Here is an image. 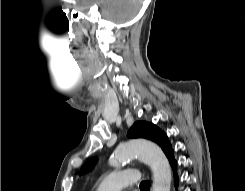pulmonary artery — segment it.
I'll return each mask as SVG.
<instances>
[{"label": "pulmonary artery", "mask_w": 245, "mask_h": 191, "mask_svg": "<svg viewBox=\"0 0 245 191\" xmlns=\"http://www.w3.org/2000/svg\"><path fill=\"white\" fill-rule=\"evenodd\" d=\"M135 169L127 168L108 175L96 188V191H121L134 185L138 179Z\"/></svg>", "instance_id": "e3ab8cb5"}]
</instances>
